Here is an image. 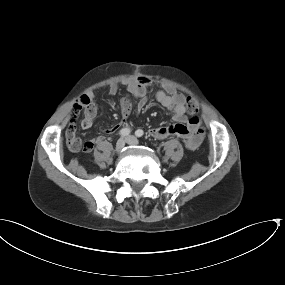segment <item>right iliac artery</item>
Masks as SVG:
<instances>
[{"label": "right iliac artery", "instance_id": "right-iliac-artery-1", "mask_svg": "<svg viewBox=\"0 0 285 285\" xmlns=\"http://www.w3.org/2000/svg\"><path fill=\"white\" fill-rule=\"evenodd\" d=\"M130 132H131V131H130L129 128H124V129H122V130L119 131V134H120V136L125 137V136L129 135Z\"/></svg>", "mask_w": 285, "mask_h": 285}]
</instances>
